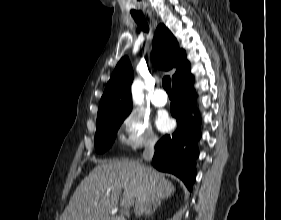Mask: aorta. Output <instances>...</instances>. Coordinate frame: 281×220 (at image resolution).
<instances>
[{
	"label": "aorta",
	"mask_w": 281,
	"mask_h": 220,
	"mask_svg": "<svg viewBox=\"0 0 281 220\" xmlns=\"http://www.w3.org/2000/svg\"><path fill=\"white\" fill-rule=\"evenodd\" d=\"M143 89H144L143 82L139 78L135 79L133 81L132 88H131L132 99L134 104L141 105L144 102Z\"/></svg>",
	"instance_id": "aorta-1"
}]
</instances>
